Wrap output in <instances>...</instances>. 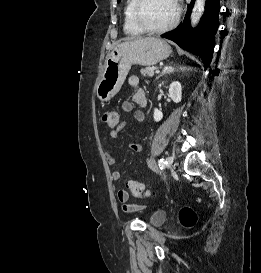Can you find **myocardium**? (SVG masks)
I'll return each instance as SVG.
<instances>
[{
    "instance_id": "obj_1",
    "label": "myocardium",
    "mask_w": 261,
    "mask_h": 273,
    "mask_svg": "<svg viewBox=\"0 0 261 273\" xmlns=\"http://www.w3.org/2000/svg\"><path fill=\"white\" fill-rule=\"evenodd\" d=\"M145 2V0H135V3L133 5L132 8V21L135 24V26L137 28H139L142 32H148V33H165L171 29H173L179 22L180 19V6L178 3V0H173L174 5H175V16L173 18V20L168 23L165 26L162 27H149L147 25H145L139 18V10L141 8V6L143 5V3Z\"/></svg>"
}]
</instances>
